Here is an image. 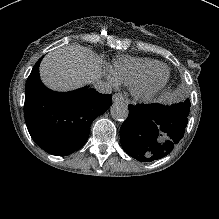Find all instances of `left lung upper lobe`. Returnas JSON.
I'll return each instance as SVG.
<instances>
[{"label":"left lung upper lobe","mask_w":219,"mask_h":219,"mask_svg":"<svg viewBox=\"0 0 219 219\" xmlns=\"http://www.w3.org/2000/svg\"><path fill=\"white\" fill-rule=\"evenodd\" d=\"M171 107L177 108V109L181 110L182 112L189 114V111H190L189 99H187L185 102L173 104Z\"/></svg>","instance_id":"obj_1"}]
</instances>
